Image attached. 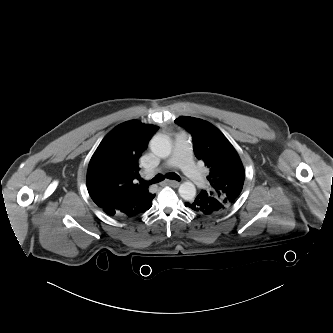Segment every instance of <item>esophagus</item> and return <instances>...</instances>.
Listing matches in <instances>:
<instances>
[{
    "label": "esophagus",
    "instance_id": "obj_1",
    "mask_svg": "<svg viewBox=\"0 0 333 333\" xmlns=\"http://www.w3.org/2000/svg\"><path fill=\"white\" fill-rule=\"evenodd\" d=\"M163 185H169L172 187H178L179 186V182L174 181V180H165L163 183Z\"/></svg>",
    "mask_w": 333,
    "mask_h": 333
}]
</instances>
